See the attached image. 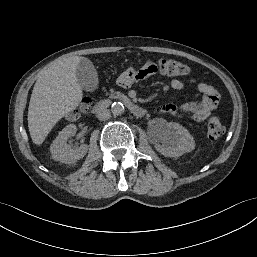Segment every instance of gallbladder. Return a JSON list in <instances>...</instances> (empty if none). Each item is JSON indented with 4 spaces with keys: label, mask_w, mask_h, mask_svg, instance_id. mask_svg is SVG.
I'll use <instances>...</instances> for the list:
<instances>
[{
    "label": "gallbladder",
    "mask_w": 257,
    "mask_h": 257,
    "mask_svg": "<svg viewBox=\"0 0 257 257\" xmlns=\"http://www.w3.org/2000/svg\"><path fill=\"white\" fill-rule=\"evenodd\" d=\"M76 77L80 86L86 91H94L98 87L97 71L87 58L81 59L77 65Z\"/></svg>",
    "instance_id": "obj_1"
}]
</instances>
